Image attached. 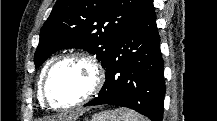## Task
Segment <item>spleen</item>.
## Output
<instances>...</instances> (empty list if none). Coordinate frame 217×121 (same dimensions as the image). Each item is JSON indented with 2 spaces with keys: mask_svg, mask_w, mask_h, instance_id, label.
<instances>
[{
  "mask_svg": "<svg viewBox=\"0 0 217 121\" xmlns=\"http://www.w3.org/2000/svg\"><path fill=\"white\" fill-rule=\"evenodd\" d=\"M92 121H145V118L126 108H117L95 115Z\"/></svg>",
  "mask_w": 217,
  "mask_h": 121,
  "instance_id": "3e777b00",
  "label": "spleen"
}]
</instances>
